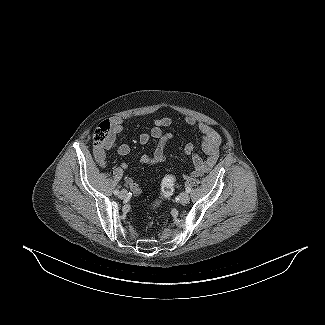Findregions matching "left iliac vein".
<instances>
[{
	"instance_id": "left-iliac-vein-1",
	"label": "left iliac vein",
	"mask_w": 325,
	"mask_h": 325,
	"mask_svg": "<svg viewBox=\"0 0 325 325\" xmlns=\"http://www.w3.org/2000/svg\"><path fill=\"white\" fill-rule=\"evenodd\" d=\"M189 200H190V197H189V195L186 192L180 193V195H179V202L181 204H187L189 202Z\"/></svg>"
}]
</instances>
